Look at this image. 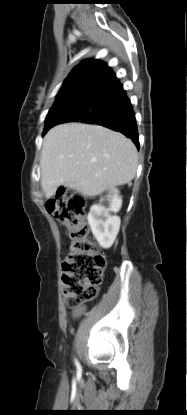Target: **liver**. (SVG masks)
<instances>
[{"label": "liver", "instance_id": "obj_1", "mask_svg": "<svg viewBox=\"0 0 187 415\" xmlns=\"http://www.w3.org/2000/svg\"><path fill=\"white\" fill-rule=\"evenodd\" d=\"M137 165V149L121 133L100 125L60 124L44 137L42 189L47 199L60 186L97 196L133 180Z\"/></svg>", "mask_w": 187, "mask_h": 415}]
</instances>
